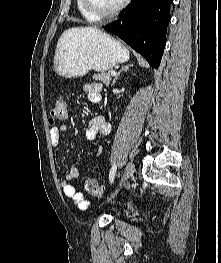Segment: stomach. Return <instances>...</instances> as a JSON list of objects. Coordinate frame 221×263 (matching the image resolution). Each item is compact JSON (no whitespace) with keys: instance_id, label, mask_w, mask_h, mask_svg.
Wrapping results in <instances>:
<instances>
[{"instance_id":"stomach-1","label":"stomach","mask_w":221,"mask_h":263,"mask_svg":"<svg viewBox=\"0 0 221 263\" xmlns=\"http://www.w3.org/2000/svg\"><path fill=\"white\" fill-rule=\"evenodd\" d=\"M128 59L129 51L110 35L78 27L60 37L53 68L62 77L77 78L90 70L106 72Z\"/></svg>"}]
</instances>
